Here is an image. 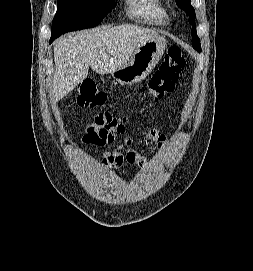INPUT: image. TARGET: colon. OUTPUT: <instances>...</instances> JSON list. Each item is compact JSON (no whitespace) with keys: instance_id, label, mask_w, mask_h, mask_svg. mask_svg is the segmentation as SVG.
Listing matches in <instances>:
<instances>
[{"instance_id":"5ec220e1","label":"colon","mask_w":253,"mask_h":271,"mask_svg":"<svg viewBox=\"0 0 253 271\" xmlns=\"http://www.w3.org/2000/svg\"><path fill=\"white\" fill-rule=\"evenodd\" d=\"M185 66V60L181 49L178 46H171L160 64L158 70L154 73L148 83L143 96L154 102L162 100L170 94L175 83L179 78L181 71ZM107 101V95L97 90L93 81L84 80L77 93V102L87 107L103 106Z\"/></svg>"}]
</instances>
